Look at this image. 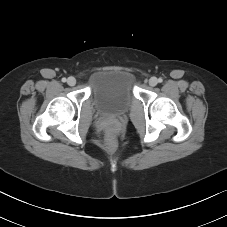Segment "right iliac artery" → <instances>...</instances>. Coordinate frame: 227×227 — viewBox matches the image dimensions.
Masks as SVG:
<instances>
[{
  "mask_svg": "<svg viewBox=\"0 0 227 227\" xmlns=\"http://www.w3.org/2000/svg\"><path fill=\"white\" fill-rule=\"evenodd\" d=\"M67 80H66V78H62V82H66Z\"/></svg>",
  "mask_w": 227,
  "mask_h": 227,
  "instance_id": "1",
  "label": "right iliac artery"
}]
</instances>
